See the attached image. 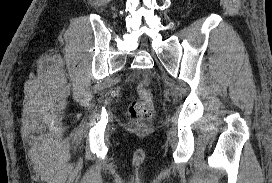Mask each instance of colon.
<instances>
[{"label":"colon","instance_id":"5ec220e1","mask_svg":"<svg viewBox=\"0 0 272 183\" xmlns=\"http://www.w3.org/2000/svg\"><path fill=\"white\" fill-rule=\"evenodd\" d=\"M148 85L146 79L139 84V99L134 100L129 107V120L134 125L142 124L153 116L152 95Z\"/></svg>","mask_w":272,"mask_h":183}]
</instances>
